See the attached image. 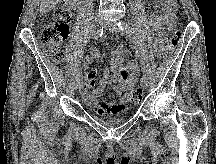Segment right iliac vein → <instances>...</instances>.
<instances>
[{
    "instance_id": "right-iliac-vein-1",
    "label": "right iliac vein",
    "mask_w": 216,
    "mask_h": 164,
    "mask_svg": "<svg viewBox=\"0 0 216 164\" xmlns=\"http://www.w3.org/2000/svg\"><path fill=\"white\" fill-rule=\"evenodd\" d=\"M103 19L101 18H96L95 21H94V26L96 28H100L102 25H103ZM79 85H80V77H76L75 76V79H74V89L77 90L79 88Z\"/></svg>"
}]
</instances>
